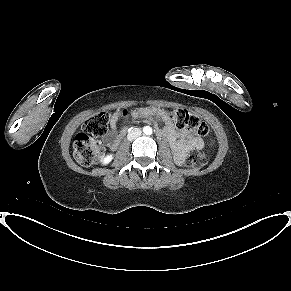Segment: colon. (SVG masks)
<instances>
[{
	"label": "colon",
	"instance_id": "obj_1",
	"mask_svg": "<svg viewBox=\"0 0 291 291\" xmlns=\"http://www.w3.org/2000/svg\"><path fill=\"white\" fill-rule=\"evenodd\" d=\"M169 118L180 128L194 132L201 136H207L209 129L205 122L186 109H174L168 112ZM110 115L107 112H99L90 117L82 127L81 132L74 141V158L82 166H90L97 163L103 155V147L96 138L106 134ZM208 146L213 145V140H207ZM207 156L202 152H191L187 155L185 163L189 168L197 169L205 165Z\"/></svg>",
	"mask_w": 291,
	"mask_h": 291
}]
</instances>
